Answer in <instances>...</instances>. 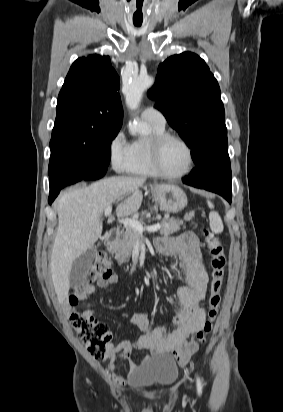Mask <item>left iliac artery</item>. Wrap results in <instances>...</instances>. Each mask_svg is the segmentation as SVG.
<instances>
[{
	"instance_id": "1",
	"label": "left iliac artery",
	"mask_w": 283,
	"mask_h": 412,
	"mask_svg": "<svg viewBox=\"0 0 283 412\" xmlns=\"http://www.w3.org/2000/svg\"><path fill=\"white\" fill-rule=\"evenodd\" d=\"M197 390L199 394L202 393V385H201V381L199 378H197Z\"/></svg>"
}]
</instances>
